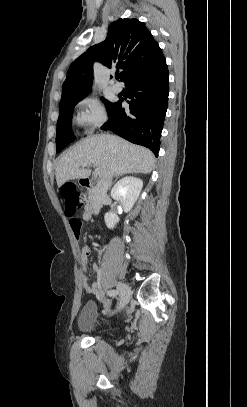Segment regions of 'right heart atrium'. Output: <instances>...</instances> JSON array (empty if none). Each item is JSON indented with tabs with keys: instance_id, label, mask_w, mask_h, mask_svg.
<instances>
[{
	"instance_id": "1",
	"label": "right heart atrium",
	"mask_w": 247,
	"mask_h": 407,
	"mask_svg": "<svg viewBox=\"0 0 247 407\" xmlns=\"http://www.w3.org/2000/svg\"><path fill=\"white\" fill-rule=\"evenodd\" d=\"M76 122L85 131L101 127L107 120L106 110L96 97H85L77 104Z\"/></svg>"
}]
</instances>
